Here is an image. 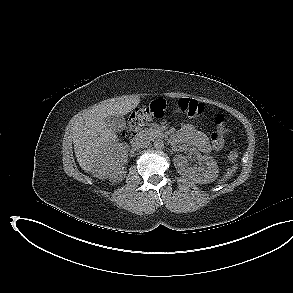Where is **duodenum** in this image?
Wrapping results in <instances>:
<instances>
[{"label": "duodenum", "instance_id": "obj_1", "mask_svg": "<svg viewBox=\"0 0 293 293\" xmlns=\"http://www.w3.org/2000/svg\"><path fill=\"white\" fill-rule=\"evenodd\" d=\"M141 140H142L141 134L140 133H136L134 135V137L132 138V140H131L132 147H137L140 144Z\"/></svg>", "mask_w": 293, "mask_h": 293}]
</instances>
